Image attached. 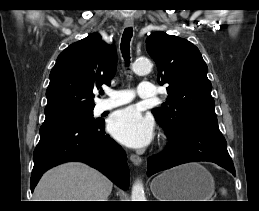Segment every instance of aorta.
<instances>
[{"label": "aorta", "mask_w": 259, "mask_h": 211, "mask_svg": "<svg viewBox=\"0 0 259 211\" xmlns=\"http://www.w3.org/2000/svg\"><path fill=\"white\" fill-rule=\"evenodd\" d=\"M133 71L137 75L148 74L152 69V64L148 59L136 60L133 64ZM131 201H146L143 183L137 180L132 186Z\"/></svg>", "instance_id": "1"}]
</instances>
